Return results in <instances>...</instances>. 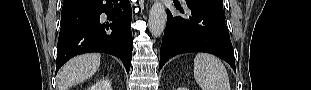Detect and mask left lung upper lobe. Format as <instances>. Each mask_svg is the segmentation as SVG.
<instances>
[{"label": "left lung upper lobe", "mask_w": 311, "mask_h": 90, "mask_svg": "<svg viewBox=\"0 0 311 90\" xmlns=\"http://www.w3.org/2000/svg\"><path fill=\"white\" fill-rule=\"evenodd\" d=\"M186 1L196 2L223 12V0H186Z\"/></svg>", "instance_id": "left-lung-upper-lobe-1"}]
</instances>
